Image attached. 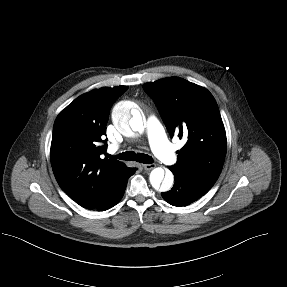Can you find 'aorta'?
Segmentation results:
<instances>
[{
	"instance_id": "obj_1",
	"label": "aorta",
	"mask_w": 287,
	"mask_h": 287,
	"mask_svg": "<svg viewBox=\"0 0 287 287\" xmlns=\"http://www.w3.org/2000/svg\"><path fill=\"white\" fill-rule=\"evenodd\" d=\"M112 121L115 127L122 131L129 129L142 133L144 131L143 119L141 113L136 108H131L124 103L116 105L112 112ZM163 168L158 167L151 171L149 180L152 187L160 191H169L174 182V176L171 172H167Z\"/></svg>"
}]
</instances>
